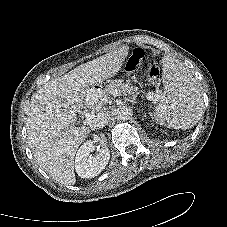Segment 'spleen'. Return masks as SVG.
Returning a JSON list of instances; mask_svg holds the SVG:
<instances>
[{"label":"spleen","mask_w":227,"mask_h":227,"mask_svg":"<svg viewBox=\"0 0 227 227\" xmlns=\"http://www.w3.org/2000/svg\"><path fill=\"white\" fill-rule=\"evenodd\" d=\"M165 91L154 116L161 125L177 129L192 128L203 115V99L195 79L179 61L163 60Z\"/></svg>","instance_id":"1"}]
</instances>
